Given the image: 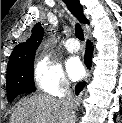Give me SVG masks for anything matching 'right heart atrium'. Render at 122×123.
<instances>
[{
    "mask_svg": "<svg viewBox=\"0 0 122 123\" xmlns=\"http://www.w3.org/2000/svg\"><path fill=\"white\" fill-rule=\"evenodd\" d=\"M32 76L37 89L43 93L62 96L70 89L61 65L46 55L37 57Z\"/></svg>",
    "mask_w": 122,
    "mask_h": 123,
    "instance_id": "right-heart-atrium-1",
    "label": "right heart atrium"
}]
</instances>
